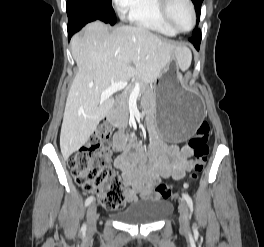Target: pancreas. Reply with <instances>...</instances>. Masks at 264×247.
I'll list each match as a JSON object with an SVG mask.
<instances>
[{
    "label": "pancreas",
    "mask_w": 264,
    "mask_h": 247,
    "mask_svg": "<svg viewBox=\"0 0 264 247\" xmlns=\"http://www.w3.org/2000/svg\"><path fill=\"white\" fill-rule=\"evenodd\" d=\"M134 85H130L126 88V90L121 94L119 99L117 100L114 110H113V120L118 125H124L128 122L129 118V108L128 101L131 92L133 91ZM140 90L144 95H149L150 99H152V95L150 94V89L148 85L140 82Z\"/></svg>",
    "instance_id": "cf45deb5"
}]
</instances>
